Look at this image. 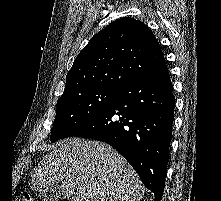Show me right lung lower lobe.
Here are the masks:
<instances>
[{"label":"right lung lower lobe","instance_id":"right-lung-lower-lobe-1","mask_svg":"<svg viewBox=\"0 0 221 201\" xmlns=\"http://www.w3.org/2000/svg\"><path fill=\"white\" fill-rule=\"evenodd\" d=\"M175 101L166 63L119 88L99 113L68 137L115 148L160 201L164 191Z\"/></svg>","mask_w":221,"mask_h":201}]
</instances>
